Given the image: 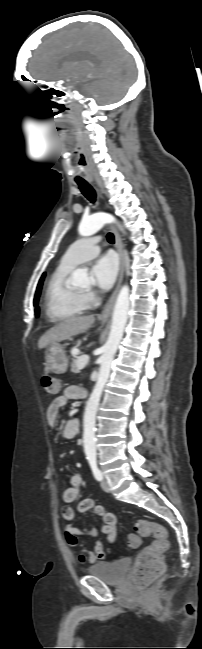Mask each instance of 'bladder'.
<instances>
[{"instance_id": "obj_1", "label": "bladder", "mask_w": 202, "mask_h": 649, "mask_svg": "<svg viewBox=\"0 0 202 649\" xmlns=\"http://www.w3.org/2000/svg\"><path fill=\"white\" fill-rule=\"evenodd\" d=\"M129 567V559L120 558L109 562H97L89 567L87 572L107 584L117 585L126 578Z\"/></svg>"}]
</instances>
